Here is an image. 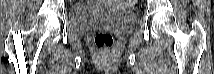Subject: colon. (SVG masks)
<instances>
[{"instance_id":"obj_1","label":"colon","mask_w":214,"mask_h":74,"mask_svg":"<svg viewBox=\"0 0 214 74\" xmlns=\"http://www.w3.org/2000/svg\"><path fill=\"white\" fill-rule=\"evenodd\" d=\"M136 0H126L127 7H133ZM95 44L100 49H109L115 44V36L109 31H99L95 36Z\"/></svg>"}]
</instances>
